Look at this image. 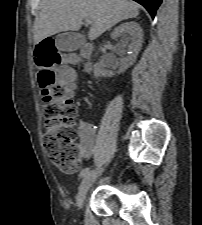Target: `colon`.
I'll return each mask as SVG.
<instances>
[{
	"mask_svg": "<svg viewBox=\"0 0 202 225\" xmlns=\"http://www.w3.org/2000/svg\"><path fill=\"white\" fill-rule=\"evenodd\" d=\"M58 39H41L35 51L38 60V80L43 101V118L48 131L43 144L51 162L62 172H73L80 164L79 146L75 129L77 109L71 103V88L67 83L73 79L71 72L57 73L54 67L60 66L69 53L57 51ZM64 82L55 83L56 79Z\"/></svg>",
	"mask_w": 202,
	"mask_h": 225,
	"instance_id": "5ec220e1",
	"label": "colon"
}]
</instances>
